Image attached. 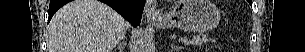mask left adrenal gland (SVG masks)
<instances>
[{"mask_svg": "<svg viewBox=\"0 0 305 52\" xmlns=\"http://www.w3.org/2000/svg\"><path fill=\"white\" fill-rule=\"evenodd\" d=\"M180 49H182L181 46L171 44V51L172 52H178Z\"/></svg>", "mask_w": 305, "mask_h": 52, "instance_id": "left-adrenal-gland-1", "label": "left adrenal gland"}]
</instances>
